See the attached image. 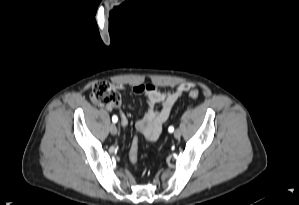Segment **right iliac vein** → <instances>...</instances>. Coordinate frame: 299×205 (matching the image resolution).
<instances>
[{
	"label": "right iliac vein",
	"instance_id": "right-iliac-vein-1",
	"mask_svg": "<svg viewBox=\"0 0 299 205\" xmlns=\"http://www.w3.org/2000/svg\"><path fill=\"white\" fill-rule=\"evenodd\" d=\"M110 132H111L112 135H116L118 133V129H117V126L115 124H111Z\"/></svg>",
	"mask_w": 299,
	"mask_h": 205
}]
</instances>
